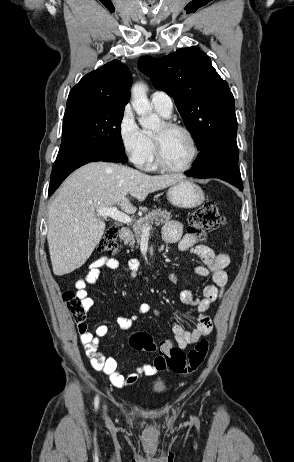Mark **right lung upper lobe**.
I'll return each instance as SVG.
<instances>
[{"label": "right lung upper lobe", "mask_w": 294, "mask_h": 462, "mask_svg": "<svg viewBox=\"0 0 294 462\" xmlns=\"http://www.w3.org/2000/svg\"><path fill=\"white\" fill-rule=\"evenodd\" d=\"M132 75L118 60L86 74L68 96L67 106L79 103H99L125 106L130 99Z\"/></svg>", "instance_id": "right-lung-upper-lobe-1"}]
</instances>
